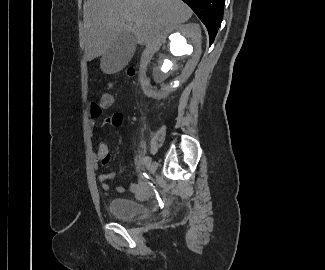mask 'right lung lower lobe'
Here are the masks:
<instances>
[{
	"label": "right lung lower lobe",
	"mask_w": 325,
	"mask_h": 270,
	"mask_svg": "<svg viewBox=\"0 0 325 270\" xmlns=\"http://www.w3.org/2000/svg\"><path fill=\"white\" fill-rule=\"evenodd\" d=\"M206 26L210 45L213 43L223 19L225 0H183Z\"/></svg>",
	"instance_id": "98d812e1"
}]
</instances>
